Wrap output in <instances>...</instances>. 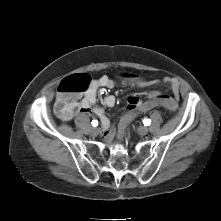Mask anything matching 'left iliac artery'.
Wrapping results in <instances>:
<instances>
[{"instance_id":"left-iliac-artery-1","label":"left iliac artery","mask_w":221,"mask_h":221,"mask_svg":"<svg viewBox=\"0 0 221 221\" xmlns=\"http://www.w3.org/2000/svg\"><path fill=\"white\" fill-rule=\"evenodd\" d=\"M151 124V120L150 119H145L144 120V125L148 126Z\"/></svg>"}]
</instances>
